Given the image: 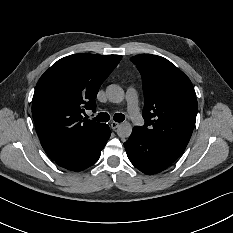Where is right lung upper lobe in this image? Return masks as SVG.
<instances>
[{
  "instance_id": "right-lung-upper-lobe-1",
  "label": "right lung upper lobe",
  "mask_w": 233,
  "mask_h": 233,
  "mask_svg": "<svg viewBox=\"0 0 233 233\" xmlns=\"http://www.w3.org/2000/svg\"><path fill=\"white\" fill-rule=\"evenodd\" d=\"M122 56L74 54L54 63L39 79L32 116L41 145L52 160L64 157L97 138L106 124L87 120L95 111L98 90Z\"/></svg>"
}]
</instances>
